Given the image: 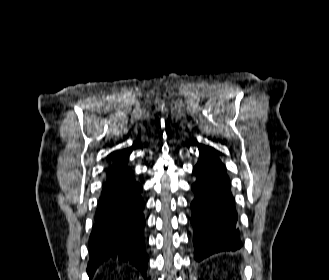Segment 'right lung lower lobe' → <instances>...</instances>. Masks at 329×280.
<instances>
[{
  "instance_id": "obj_1",
  "label": "right lung lower lobe",
  "mask_w": 329,
  "mask_h": 280,
  "mask_svg": "<svg viewBox=\"0 0 329 280\" xmlns=\"http://www.w3.org/2000/svg\"><path fill=\"white\" fill-rule=\"evenodd\" d=\"M127 161L113 162L107 171L90 236V278L103 262L117 259L133 264L146 280L142 186L133 178Z\"/></svg>"
}]
</instances>
